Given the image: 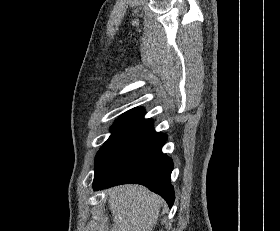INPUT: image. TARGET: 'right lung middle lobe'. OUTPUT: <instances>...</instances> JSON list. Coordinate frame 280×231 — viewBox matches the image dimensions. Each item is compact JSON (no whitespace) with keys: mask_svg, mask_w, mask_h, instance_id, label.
I'll return each mask as SVG.
<instances>
[{"mask_svg":"<svg viewBox=\"0 0 280 231\" xmlns=\"http://www.w3.org/2000/svg\"><path fill=\"white\" fill-rule=\"evenodd\" d=\"M133 125L127 122H120V121H116L112 128V134L110 136V138L104 143V145L101 147V149L98 151V153L107 145L109 144L111 141H113L115 138H117L119 135H121L122 133H124L125 131H127L128 129L132 128ZM97 153V154H98Z\"/></svg>","mask_w":280,"mask_h":231,"instance_id":"dd1d6c3e","label":"right lung middle lobe"}]
</instances>
